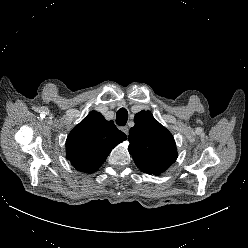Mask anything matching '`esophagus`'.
I'll return each instance as SVG.
<instances>
[{
  "instance_id": "esophagus-1",
  "label": "esophagus",
  "mask_w": 248,
  "mask_h": 248,
  "mask_svg": "<svg viewBox=\"0 0 248 248\" xmlns=\"http://www.w3.org/2000/svg\"><path fill=\"white\" fill-rule=\"evenodd\" d=\"M121 130H122L126 135H128L129 129H128L127 126L121 127Z\"/></svg>"
}]
</instances>
